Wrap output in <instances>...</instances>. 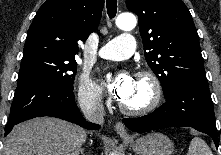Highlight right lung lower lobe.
<instances>
[{
  "mask_svg": "<svg viewBox=\"0 0 221 155\" xmlns=\"http://www.w3.org/2000/svg\"><path fill=\"white\" fill-rule=\"evenodd\" d=\"M43 116L64 119L87 129H99L98 125L83 119L72 90L64 89L44 79L30 78L17 86L5 126V136L14 125Z\"/></svg>",
  "mask_w": 221,
  "mask_h": 155,
  "instance_id": "98d812e1",
  "label": "right lung lower lobe"
}]
</instances>
